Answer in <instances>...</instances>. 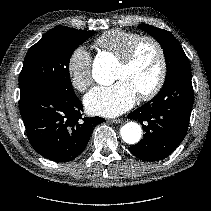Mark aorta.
I'll use <instances>...</instances> for the list:
<instances>
[{
	"mask_svg": "<svg viewBox=\"0 0 211 211\" xmlns=\"http://www.w3.org/2000/svg\"><path fill=\"white\" fill-rule=\"evenodd\" d=\"M94 80L102 85H111L114 82V75L111 67L101 63L96 59L92 70ZM120 134L124 142L136 144L140 141L142 130L136 122H128L120 129Z\"/></svg>",
	"mask_w": 211,
	"mask_h": 211,
	"instance_id": "aorta-1",
	"label": "aorta"
}]
</instances>
